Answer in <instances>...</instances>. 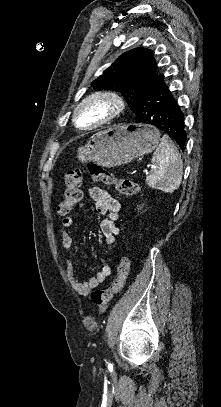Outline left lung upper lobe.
<instances>
[{"mask_svg":"<svg viewBox=\"0 0 221 407\" xmlns=\"http://www.w3.org/2000/svg\"><path fill=\"white\" fill-rule=\"evenodd\" d=\"M151 50L138 47L123 53L102 75L92 82L96 90H113L122 94L132 112L138 109L141 92L162 75Z\"/></svg>","mask_w":221,"mask_h":407,"instance_id":"5c2ea615","label":"left lung upper lobe"}]
</instances>
